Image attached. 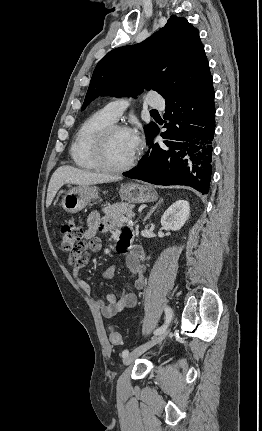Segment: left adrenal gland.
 <instances>
[{"instance_id": "1", "label": "left adrenal gland", "mask_w": 262, "mask_h": 431, "mask_svg": "<svg viewBox=\"0 0 262 431\" xmlns=\"http://www.w3.org/2000/svg\"><path fill=\"white\" fill-rule=\"evenodd\" d=\"M163 202V199L161 198L149 211V213L147 214V216L144 218V222L150 218V216L153 214V212L156 210V208L158 206H160V204Z\"/></svg>"}]
</instances>
